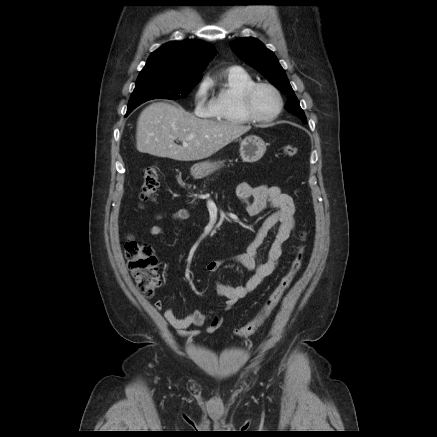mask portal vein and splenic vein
I'll return each mask as SVG.
<instances>
[{
  "label": "portal vein and splenic vein",
  "mask_w": 437,
  "mask_h": 437,
  "mask_svg": "<svg viewBox=\"0 0 437 437\" xmlns=\"http://www.w3.org/2000/svg\"><path fill=\"white\" fill-rule=\"evenodd\" d=\"M183 145H184V146H187V144H186L185 142H183Z\"/></svg>",
  "instance_id": "1"
}]
</instances>
